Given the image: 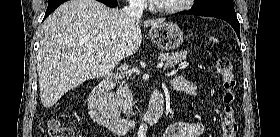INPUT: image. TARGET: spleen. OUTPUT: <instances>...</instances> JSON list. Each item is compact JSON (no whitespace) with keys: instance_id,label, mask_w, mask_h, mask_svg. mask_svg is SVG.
<instances>
[{"instance_id":"1","label":"spleen","mask_w":280,"mask_h":137,"mask_svg":"<svg viewBox=\"0 0 280 137\" xmlns=\"http://www.w3.org/2000/svg\"><path fill=\"white\" fill-rule=\"evenodd\" d=\"M210 39L213 41V42H218V40L216 39V38H214V37H210Z\"/></svg>"}]
</instances>
